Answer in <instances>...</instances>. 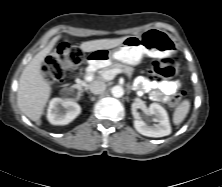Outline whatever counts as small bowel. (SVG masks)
Segmentation results:
<instances>
[{"label":"small bowel","mask_w":222,"mask_h":187,"mask_svg":"<svg viewBox=\"0 0 222 187\" xmlns=\"http://www.w3.org/2000/svg\"><path fill=\"white\" fill-rule=\"evenodd\" d=\"M139 88L149 94V98L154 102H167L178 88L179 82L176 80L156 81L141 77L137 81Z\"/></svg>","instance_id":"c3829d8e"}]
</instances>
